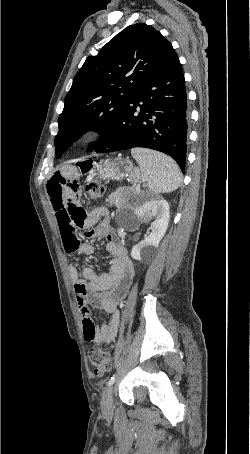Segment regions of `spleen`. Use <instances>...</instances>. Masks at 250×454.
I'll return each instance as SVG.
<instances>
[{"instance_id": "obj_1", "label": "spleen", "mask_w": 250, "mask_h": 454, "mask_svg": "<svg viewBox=\"0 0 250 454\" xmlns=\"http://www.w3.org/2000/svg\"><path fill=\"white\" fill-rule=\"evenodd\" d=\"M131 154L137 161L142 177L147 181L151 193H169L180 186L181 173L172 158L156 151L141 148L132 149Z\"/></svg>"}]
</instances>
